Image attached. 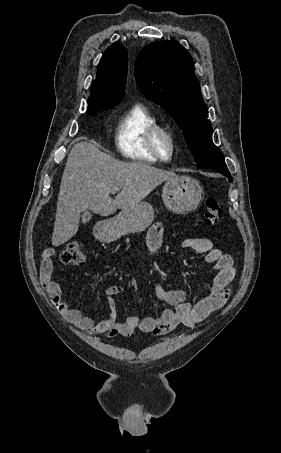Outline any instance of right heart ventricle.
Wrapping results in <instances>:
<instances>
[{
	"label": "right heart ventricle",
	"mask_w": 281,
	"mask_h": 453,
	"mask_svg": "<svg viewBox=\"0 0 281 453\" xmlns=\"http://www.w3.org/2000/svg\"><path fill=\"white\" fill-rule=\"evenodd\" d=\"M157 125H159L157 118L145 106L135 104L125 109L116 128V149L128 159L158 162L148 142L151 130Z\"/></svg>",
	"instance_id": "obj_1"
}]
</instances>
